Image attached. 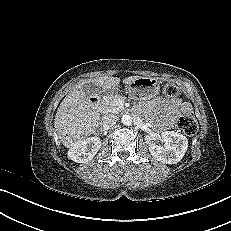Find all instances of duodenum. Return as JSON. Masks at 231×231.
I'll use <instances>...</instances> for the list:
<instances>
[{"instance_id": "1", "label": "duodenum", "mask_w": 231, "mask_h": 231, "mask_svg": "<svg viewBox=\"0 0 231 231\" xmlns=\"http://www.w3.org/2000/svg\"><path fill=\"white\" fill-rule=\"evenodd\" d=\"M99 104H100V98L99 97L92 96L89 99V105H90L91 109L93 110V116L97 115V109L99 107Z\"/></svg>"}]
</instances>
